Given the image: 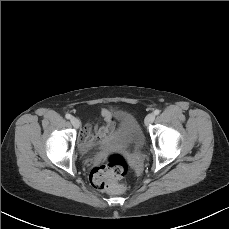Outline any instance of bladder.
Wrapping results in <instances>:
<instances>
[{"instance_id":"31cf9c89","label":"bladder","mask_w":229,"mask_h":229,"mask_svg":"<svg viewBox=\"0 0 229 229\" xmlns=\"http://www.w3.org/2000/svg\"><path fill=\"white\" fill-rule=\"evenodd\" d=\"M122 146H136L145 143V135L137 121L131 114H124L119 123L118 133L114 140ZM102 144V142L89 143L88 150H91L94 145Z\"/></svg>"}]
</instances>
